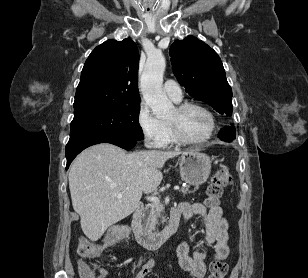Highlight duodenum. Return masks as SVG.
I'll return each mask as SVG.
<instances>
[{"label":"duodenum","instance_id":"duodenum-1","mask_svg":"<svg viewBox=\"0 0 308 278\" xmlns=\"http://www.w3.org/2000/svg\"><path fill=\"white\" fill-rule=\"evenodd\" d=\"M143 210L144 206L142 204L136 206L131 216L130 229L138 243L150 249L158 248L176 232L179 223V216L174 210H172L168 224L161 231L148 232L142 229L140 225V216Z\"/></svg>","mask_w":308,"mask_h":278}]
</instances>
